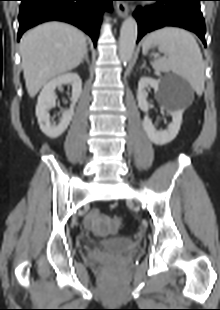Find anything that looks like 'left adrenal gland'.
<instances>
[{
	"instance_id": "1",
	"label": "left adrenal gland",
	"mask_w": 220,
	"mask_h": 310,
	"mask_svg": "<svg viewBox=\"0 0 220 310\" xmlns=\"http://www.w3.org/2000/svg\"><path fill=\"white\" fill-rule=\"evenodd\" d=\"M146 68V62L144 61L143 65L141 66V69Z\"/></svg>"
}]
</instances>
